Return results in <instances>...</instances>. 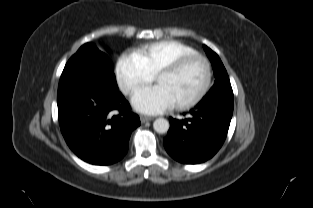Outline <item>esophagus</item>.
Listing matches in <instances>:
<instances>
[{"instance_id": "esophagus-1", "label": "esophagus", "mask_w": 313, "mask_h": 208, "mask_svg": "<svg viewBox=\"0 0 313 208\" xmlns=\"http://www.w3.org/2000/svg\"><path fill=\"white\" fill-rule=\"evenodd\" d=\"M152 118L151 117H148V116H140V121L141 123H145V122H148V121H151Z\"/></svg>"}]
</instances>
